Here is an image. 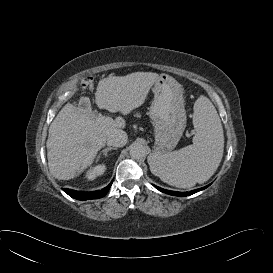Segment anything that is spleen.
Returning <instances> with one entry per match:
<instances>
[{"label": "spleen", "instance_id": "spleen-1", "mask_svg": "<svg viewBox=\"0 0 273 273\" xmlns=\"http://www.w3.org/2000/svg\"><path fill=\"white\" fill-rule=\"evenodd\" d=\"M193 144L165 154L148 157L151 172L163 182L190 188L204 183L217 170L224 151V135L220 117L211 101L200 96L194 104Z\"/></svg>", "mask_w": 273, "mask_h": 273}]
</instances>
